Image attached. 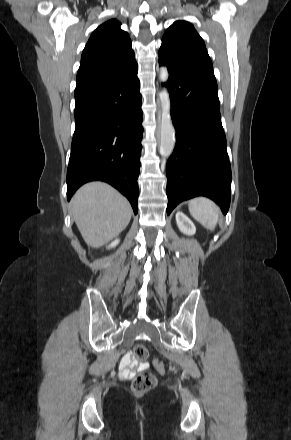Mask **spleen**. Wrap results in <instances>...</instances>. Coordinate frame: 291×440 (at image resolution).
I'll return each mask as SVG.
<instances>
[{
	"mask_svg": "<svg viewBox=\"0 0 291 440\" xmlns=\"http://www.w3.org/2000/svg\"><path fill=\"white\" fill-rule=\"evenodd\" d=\"M191 215L205 228L213 231L219 218L218 206L206 197H197L189 202Z\"/></svg>",
	"mask_w": 291,
	"mask_h": 440,
	"instance_id": "obj_1",
	"label": "spleen"
}]
</instances>
